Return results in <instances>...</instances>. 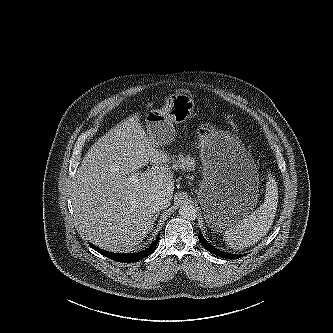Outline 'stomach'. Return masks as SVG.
I'll list each match as a JSON object with an SVG mask.
<instances>
[{
    "instance_id": "stomach-1",
    "label": "stomach",
    "mask_w": 333,
    "mask_h": 333,
    "mask_svg": "<svg viewBox=\"0 0 333 333\" xmlns=\"http://www.w3.org/2000/svg\"><path fill=\"white\" fill-rule=\"evenodd\" d=\"M194 107L186 94L169 95L161 109L145 115L149 138L158 146L170 144L176 135L173 122H185ZM197 133L204 174L198 192L199 222L208 234L224 236L264 201L266 185L237 137L208 124L201 125Z\"/></svg>"
}]
</instances>
